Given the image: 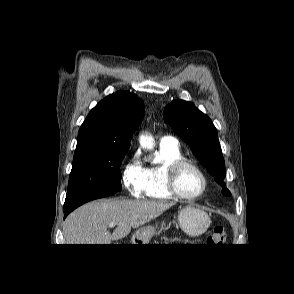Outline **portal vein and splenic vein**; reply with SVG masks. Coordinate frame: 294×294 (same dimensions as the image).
Listing matches in <instances>:
<instances>
[{
    "label": "portal vein and splenic vein",
    "instance_id": "portal-vein-and-splenic-vein-1",
    "mask_svg": "<svg viewBox=\"0 0 294 294\" xmlns=\"http://www.w3.org/2000/svg\"><path fill=\"white\" fill-rule=\"evenodd\" d=\"M115 225H116V223L113 222V223H109L108 226H109V227H114Z\"/></svg>",
    "mask_w": 294,
    "mask_h": 294
}]
</instances>
